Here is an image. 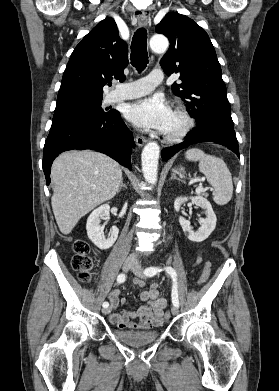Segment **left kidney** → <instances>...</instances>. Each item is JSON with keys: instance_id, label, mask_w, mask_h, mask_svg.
I'll return each instance as SVG.
<instances>
[{"instance_id": "obj_1", "label": "left kidney", "mask_w": 279, "mask_h": 391, "mask_svg": "<svg viewBox=\"0 0 279 391\" xmlns=\"http://www.w3.org/2000/svg\"><path fill=\"white\" fill-rule=\"evenodd\" d=\"M189 199L195 205L205 210L206 218H200L201 226L198 228L197 231L192 230L190 222L184 217H179V223L189 240L193 242H202L207 239L212 233V231L215 229L217 218L210 202L201 196L176 198L174 202L175 211L178 212L182 203L187 202Z\"/></svg>"}]
</instances>
